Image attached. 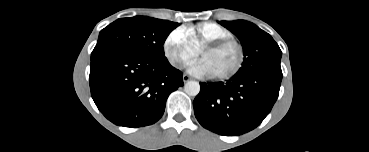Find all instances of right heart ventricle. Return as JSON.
I'll list each match as a JSON object with an SVG mask.
<instances>
[{"instance_id":"right-heart-ventricle-1","label":"right heart ventricle","mask_w":369,"mask_h":152,"mask_svg":"<svg viewBox=\"0 0 369 152\" xmlns=\"http://www.w3.org/2000/svg\"><path fill=\"white\" fill-rule=\"evenodd\" d=\"M190 44L198 52L206 43L231 37V32L214 22H201L183 28Z\"/></svg>"}]
</instances>
